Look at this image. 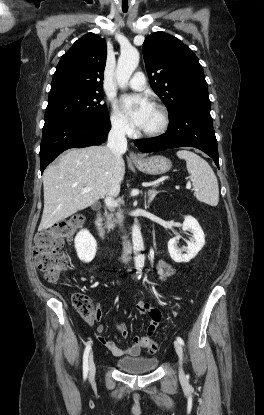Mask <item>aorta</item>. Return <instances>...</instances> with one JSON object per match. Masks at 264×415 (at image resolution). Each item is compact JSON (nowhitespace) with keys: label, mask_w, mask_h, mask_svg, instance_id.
Here are the masks:
<instances>
[{"label":"aorta","mask_w":264,"mask_h":415,"mask_svg":"<svg viewBox=\"0 0 264 415\" xmlns=\"http://www.w3.org/2000/svg\"><path fill=\"white\" fill-rule=\"evenodd\" d=\"M139 58L138 50L133 47L121 52L115 72L119 87L125 88L127 86L132 73L138 66ZM132 243L135 255V266L136 268H142L145 262V256L142 254V251H144V242L138 224H134L132 227Z\"/></svg>","instance_id":"1"}]
</instances>
